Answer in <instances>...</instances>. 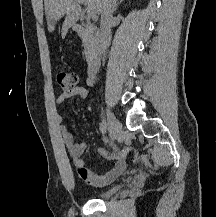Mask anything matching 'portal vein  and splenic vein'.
Listing matches in <instances>:
<instances>
[{"label": "portal vein and splenic vein", "instance_id": "obj_1", "mask_svg": "<svg viewBox=\"0 0 216 217\" xmlns=\"http://www.w3.org/2000/svg\"><path fill=\"white\" fill-rule=\"evenodd\" d=\"M78 3L87 6V8H86V14H87V17H88V18H93V17L95 16V13H94L93 10L87 5V3L85 2V0H78Z\"/></svg>", "mask_w": 216, "mask_h": 217}]
</instances>
